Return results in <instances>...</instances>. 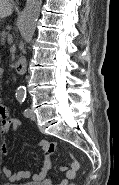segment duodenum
I'll use <instances>...</instances> for the list:
<instances>
[{
  "mask_svg": "<svg viewBox=\"0 0 119 185\" xmlns=\"http://www.w3.org/2000/svg\"><path fill=\"white\" fill-rule=\"evenodd\" d=\"M15 70L18 74L23 75L27 70V61L24 58H18L15 61Z\"/></svg>",
  "mask_w": 119,
  "mask_h": 185,
  "instance_id": "1",
  "label": "duodenum"
}]
</instances>
